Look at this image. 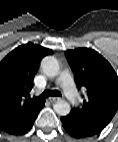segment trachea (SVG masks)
<instances>
[{"instance_id": "obj_1", "label": "trachea", "mask_w": 118, "mask_h": 142, "mask_svg": "<svg viewBox=\"0 0 118 142\" xmlns=\"http://www.w3.org/2000/svg\"><path fill=\"white\" fill-rule=\"evenodd\" d=\"M59 96V93L57 91H51L50 93L49 92H44L43 93V97H48V96Z\"/></svg>"}]
</instances>
